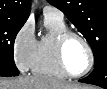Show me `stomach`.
<instances>
[{
    "label": "stomach",
    "mask_w": 107,
    "mask_h": 89,
    "mask_svg": "<svg viewBox=\"0 0 107 89\" xmlns=\"http://www.w3.org/2000/svg\"><path fill=\"white\" fill-rule=\"evenodd\" d=\"M71 89H89V88H71Z\"/></svg>",
    "instance_id": "stomach-1"
}]
</instances>
